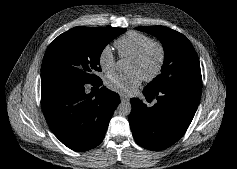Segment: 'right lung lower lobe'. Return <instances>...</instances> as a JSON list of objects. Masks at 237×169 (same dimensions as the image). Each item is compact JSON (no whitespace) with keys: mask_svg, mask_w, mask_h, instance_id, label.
Returning a JSON list of instances; mask_svg holds the SVG:
<instances>
[{"mask_svg":"<svg viewBox=\"0 0 237 169\" xmlns=\"http://www.w3.org/2000/svg\"><path fill=\"white\" fill-rule=\"evenodd\" d=\"M82 82L41 79V105L45 119L55 136L68 148L87 151L99 145L105 135L119 95L106 87L97 93H85ZM92 85H102L101 79Z\"/></svg>","mask_w":237,"mask_h":169,"instance_id":"1","label":"right lung lower lobe"}]
</instances>
